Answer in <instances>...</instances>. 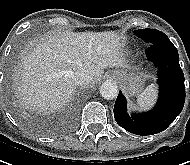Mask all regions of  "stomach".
Here are the masks:
<instances>
[{
	"instance_id": "1",
	"label": "stomach",
	"mask_w": 190,
	"mask_h": 165,
	"mask_svg": "<svg viewBox=\"0 0 190 165\" xmlns=\"http://www.w3.org/2000/svg\"><path fill=\"white\" fill-rule=\"evenodd\" d=\"M113 75L119 80L122 87L128 95L134 96L143 90L145 81L149 75L140 72H128L123 70H115Z\"/></svg>"
}]
</instances>
